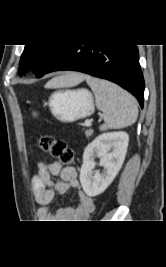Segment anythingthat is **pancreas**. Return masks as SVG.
<instances>
[{
  "label": "pancreas",
  "instance_id": "cf45deb5",
  "mask_svg": "<svg viewBox=\"0 0 166 267\" xmlns=\"http://www.w3.org/2000/svg\"><path fill=\"white\" fill-rule=\"evenodd\" d=\"M92 134H93V130H91V129H89V130H87L85 132V135H86L87 138H89L90 136H92Z\"/></svg>",
  "mask_w": 166,
  "mask_h": 267
}]
</instances>
